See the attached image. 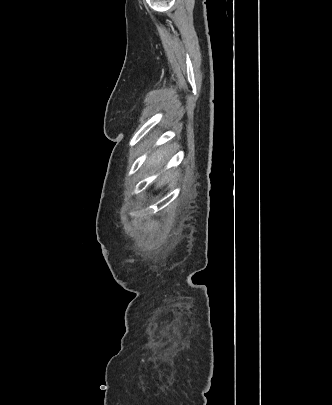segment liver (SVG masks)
Here are the masks:
<instances>
[{"instance_id": "obj_1", "label": "liver", "mask_w": 332, "mask_h": 405, "mask_svg": "<svg viewBox=\"0 0 332 405\" xmlns=\"http://www.w3.org/2000/svg\"><path fill=\"white\" fill-rule=\"evenodd\" d=\"M168 148H162L157 150L155 153H153L149 159L147 160V164L151 167H158L162 163L164 159L168 158V153H169ZM172 177L171 173L166 174L163 176L157 183H156V188L161 187L162 185L165 184L167 180H169Z\"/></svg>"}]
</instances>
